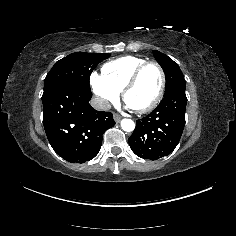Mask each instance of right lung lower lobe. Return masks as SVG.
Instances as JSON below:
<instances>
[{
	"mask_svg": "<svg viewBox=\"0 0 236 236\" xmlns=\"http://www.w3.org/2000/svg\"><path fill=\"white\" fill-rule=\"evenodd\" d=\"M92 93L70 84L44 91L43 125L54 151L71 163H84L99 152L103 133L114 126L110 112L89 105Z\"/></svg>",
	"mask_w": 236,
	"mask_h": 236,
	"instance_id": "obj_1",
	"label": "right lung lower lobe"
}]
</instances>
